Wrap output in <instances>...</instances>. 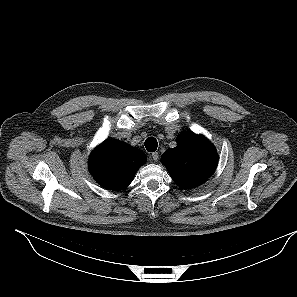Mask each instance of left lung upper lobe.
<instances>
[{
    "label": "left lung upper lobe",
    "instance_id": "1",
    "mask_svg": "<svg viewBox=\"0 0 297 297\" xmlns=\"http://www.w3.org/2000/svg\"><path fill=\"white\" fill-rule=\"evenodd\" d=\"M177 146L167 149L161 162L182 189H190L207 181L218 164L216 148L203 135L191 131L178 136Z\"/></svg>",
    "mask_w": 297,
    "mask_h": 297
}]
</instances>
